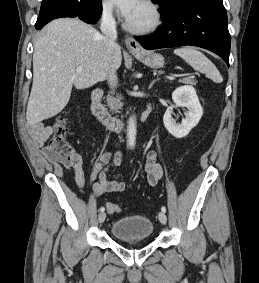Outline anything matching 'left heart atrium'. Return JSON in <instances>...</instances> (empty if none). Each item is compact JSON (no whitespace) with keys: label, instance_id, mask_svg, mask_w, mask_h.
Here are the masks:
<instances>
[{"label":"left heart atrium","instance_id":"39dd6f15","mask_svg":"<svg viewBox=\"0 0 259 283\" xmlns=\"http://www.w3.org/2000/svg\"><path fill=\"white\" fill-rule=\"evenodd\" d=\"M111 2L118 8L121 15L128 20L137 11L142 0H111Z\"/></svg>","mask_w":259,"mask_h":283}]
</instances>
